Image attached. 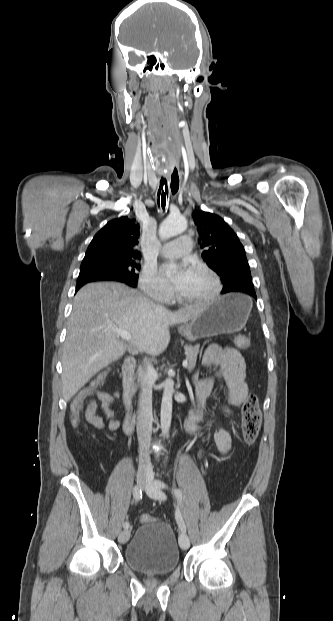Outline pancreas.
Here are the masks:
<instances>
[{
  "mask_svg": "<svg viewBox=\"0 0 333 621\" xmlns=\"http://www.w3.org/2000/svg\"><path fill=\"white\" fill-rule=\"evenodd\" d=\"M200 345H186L184 347L186 359L188 360L187 368L192 371L196 366L197 355L199 353ZM140 380V377L138 378Z\"/></svg>",
  "mask_w": 333,
  "mask_h": 621,
  "instance_id": "pancreas-1",
  "label": "pancreas"
}]
</instances>
